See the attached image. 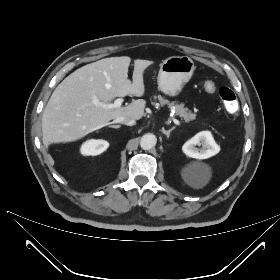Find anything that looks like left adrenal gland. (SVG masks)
I'll use <instances>...</instances> for the list:
<instances>
[{
	"label": "left adrenal gland",
	"mask_w": 280,
	"mask_h": 280,
	"mask_svg": "<svg viewBox=\"0 0 280 280\" xmlns=\"http://www.w3.org/2000/svg\"><path fill=\"white\" fill-rule=\"evenodd\" d=\"M175 129V127H172L171 129H169L168 131L165 130L164 128H162V133L166 135L167 138H169L170 133Z\"/></svg>",
	"instance_id": "left-adrenal-gland-1"
}]
</instances>
